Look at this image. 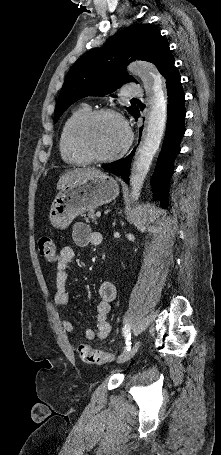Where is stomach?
Instances as JSON below:
<instances>
[{"mask_svg": "<svg viewBox=\"0 0 221 455\" xmlns=\"http://www.w3.org/2000/svg\"><path fill=\"white\" fill-rule=\"evenodd\" d=\"M118 195L117 180L106 174L75 180L61 189L53 200L50 222L57 229H66L75 217L110 203Z\"/></svg>", "mask_w": 221, "mask_h": 455, "instance_id": "obj_1", "label": "stomach"}]
</instances>
